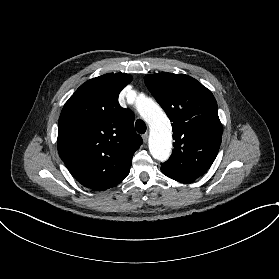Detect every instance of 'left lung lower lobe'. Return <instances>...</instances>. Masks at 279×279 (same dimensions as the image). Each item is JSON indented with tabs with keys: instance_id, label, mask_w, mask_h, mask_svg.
I'll list each match as a JSON object with an SVG mask.
<instances>
[{
	"instance_id": "left-lung-lower-lobe-1",
	"label": "left lung lower lobe",
	"mask_w": 279,
	"mask_h": 279,
	"mask_svg": "<svg viewBox=\"0 0 279 279\" xmlns=\"http://www.w3.org/2000/svg\"><path fill=\"white\" fill-rule=\"evenodd\" d=\"M161 171H162V173H163L165 176H167V177H169V178H171V179H174V180L179 181V182L188 183L185 179H183V178H181V177H179V176H177V175H175V174H172V173L169 172V171H166V170H164V169H161Z\"/></svg>"
}]
</instances>
